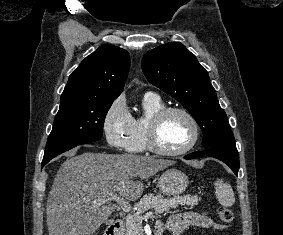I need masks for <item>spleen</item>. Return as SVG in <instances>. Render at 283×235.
Listing matches in <instances>:
<instances>
[{
  "instance_id": "3e777b00",
  "label": "spleen",
  "mask_w": 283,
  "mask_h": 235,
  "mask_svg": "<svg viewBox=\"0 0 283 235\" xmlns=\"http://www.w3.org/2000/svg\"><path fill=\"white\" fill-rule=\"evenodd\" d=\"M215 193L218 202L224 207H231L235 203V196L230 184L218 179L215 183Z\"/></svg>"
}]
</instances>
